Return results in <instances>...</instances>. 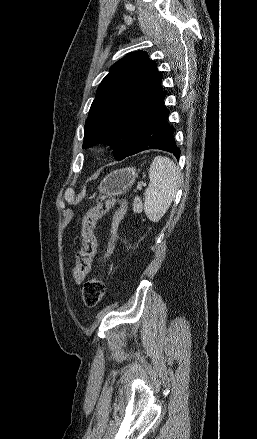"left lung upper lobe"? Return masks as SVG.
<instances>
[{"label":"left lung upper lobe","instance_id":"1","mask_svg":"<svg viewBox=\"0 0 257 439\" xmlns=\"http://www.w3.org/2000/svg\"><path fill=\"white\" fill-rule=\"evenodd\" d=\"M162 78L143 51L116 62L97 89L84 127L83 148L104 142L114 149L116 160L126 158L146 117L166 94Z\"/></svg>","mask_w":257,"mask_h":439}]
</instances>
